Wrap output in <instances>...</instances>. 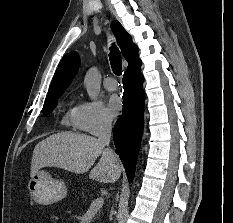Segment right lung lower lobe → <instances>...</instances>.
<instances>
[{"label": "right lung lower lobe", "mask_w": 233, "mask_h": 223, "mask_svg": "<svg viewBox=\"0 0 233 223\" xmlns=\"http://www.w3.org/2000/svg\"><path fill=\"white\" fill-rule=\"evenodd\" d=\"M140 67L128 70L123 77V113L113 132L116 152L125 167L129 182L135 172L137 153L143 129L144 93Z\"/></svg>", "instance_id": "obj_1"}]
</instances>
